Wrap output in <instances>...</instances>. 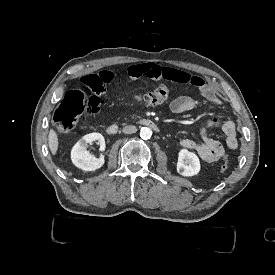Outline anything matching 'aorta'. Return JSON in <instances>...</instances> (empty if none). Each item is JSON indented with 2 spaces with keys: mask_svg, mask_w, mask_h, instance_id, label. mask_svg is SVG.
Instances as JSON below:
<instances>
[{
  "mask_svg": "<svg viewBox=\"0 0 275 275\" xmlns=\"http://www.w3.org/2000/svg\"><path fill=\"white\" fill-rule=\"evenodd\" d=\"M152 136V131L148 127H142L140 130V137L144 140L150 139Z\"/></svg>",
  "mask_w": 275,
  "mask_h": 275,
  "instance_id": "obj_1",
  "label": "aorta"
}]
</instances>
